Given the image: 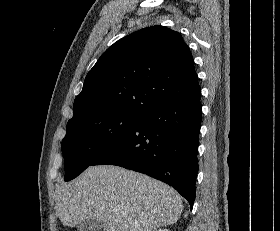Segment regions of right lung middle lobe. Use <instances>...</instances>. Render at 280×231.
I'll list each match as a JSON object with an SVG mask.
<instances>
[{"instance_id":"1","label":"right lung middle lobe","mask_w":280,"mask_h":231,"mask_svg":"<svg viewBox=\"0 0 280 231\" xmlns=\"http://www.w3.org/2000/svg\"><path fill=\"white\" fill-rule=\"evenodd\" d=\"M140 120V116L129 115L69 120L61 144L65 159V181L82 173L133 130Z\"/></svg>"}]
</instances>
